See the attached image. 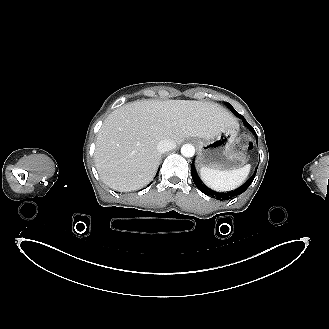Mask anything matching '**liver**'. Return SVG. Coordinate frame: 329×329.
<instances>
[{"label":"liver","instance_id":"liver-1","mask_svg":"<svg viewBox=\"0 0 329 329\" xmlns=\"http://www.w3.org/2000/svg\"><path fill=\"white\" fill-rule=\"evenodd\" d=\"M237 120L209 101L141 100L115 109L101 126L94 153L101 180L117 191H134L154 178L163 139L181 143L186 137L209 140Z\"/></svg>","mask_w":329,"mask_h":329}]
</instances>
